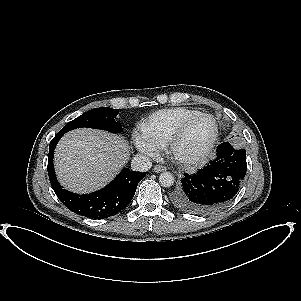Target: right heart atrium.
<instances>
[{"label":"right heart atrium","mask_w":301,"mask_h":301,"mask_svg":"<svg viewBox=\"0 0 301 301\" xmlns=\"http://www.w3.org/2000/svg\"><path fill=\"white\" fill-rule=\"evenodd\" d=\"M133 143L138 151L147 156L154 157L159 153V148L145 135L139 132H134Z\"/></svg>","instance_id":"d8ad5b80"}]
</instances>
